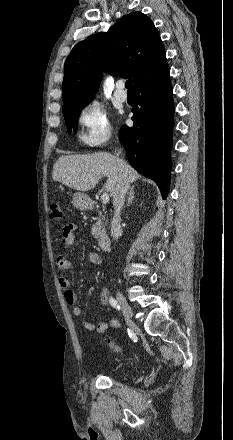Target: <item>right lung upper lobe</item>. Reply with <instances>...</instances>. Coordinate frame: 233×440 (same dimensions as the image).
Instances as JSON below:
<instances>
[{
  "label": "right lung upper lobe",
  "instance_id": "obj_1",
  "mask_svg": "<svg viewBox=\"0 0 233 440\" xmlns=\"http://www.w3.org/2000/svg\"><path fill=\"white\" fill-rule=\"evenodd\" d=\"M167 65L153 22L141 12L127 14L107 33H96L74 46L64 66L63 108L92 101L103 71L133 77L135 88Z\"/></svg>",
  "mask_w": 233,
  "mask_h": 440
}]
</instances>
